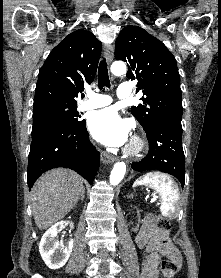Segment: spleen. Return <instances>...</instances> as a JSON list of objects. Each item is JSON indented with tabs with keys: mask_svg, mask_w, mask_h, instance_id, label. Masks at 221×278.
I'll return each instance as SVG.
<instances>
[{
	"mask_svg": "<svg viewBox=\"0 0 221 278\" xmlns=\"http://www.w3.org/2000/svg\"><path fill=\"white\" fill-rule=\"evenodd\" d=\"M148 186L157 193L161 198L160 211L164 217L174 219L177 216L176 205L179 201V189L170 176L160 172H148L137 179L133 186Z\"/></svg>",
	"mask_w": 221,
	"mask_h": 278,
	"instance_id": "spleen-1",
	"label": "spleen"
}]
</instances>
